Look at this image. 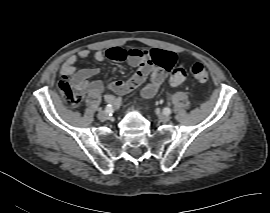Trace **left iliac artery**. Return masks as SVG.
I'll list each match as a JSON object with an SVG mask.
<instances>
[{"label": "left iliac artery", "mask_w": 270, "mask_h": 213, "mask_svg": "<svg viewBox=\"0 0 270 213\" xmlns=\"http://www.w3.org/2000/svg\"><path fill=\"white\" fill-rule=\"evenodd\" d=\"M163 112H164V114L169 115V114H171V109L168 107L164 108Z\"/></svg>", "instance_id": "44dca946"}]
</instances>
